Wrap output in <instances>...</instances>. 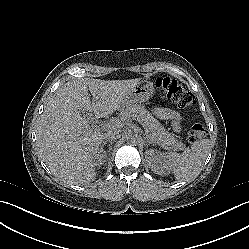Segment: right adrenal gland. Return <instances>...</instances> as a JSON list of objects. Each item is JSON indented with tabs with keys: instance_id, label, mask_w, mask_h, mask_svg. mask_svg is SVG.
I'll list each match as a JSON object with an SVG mask.
<instances>
[{
	"instance_id": "1",
	"label": "right adrenal gland",
	"mask_w": 249,
	"mask_h": 249,
	"mask_svg": "<svg viewBox=\"0 0 249 249\" xmlns=\"http://www.w3.org/2000/svg\"><path fill=\"white\" fill-rule=\"evenodd\" d=\"M107 139H106V141L104 142V144H103V146L101 147V152H103V147H104V145L107 143Z\"/></svg>"
}]
</instances>
